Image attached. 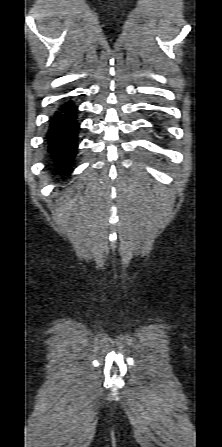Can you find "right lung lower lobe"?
<instances>
[{
  "mask_svg": "<svg viewBox=\"0 0 222 447\" xmlns=\"http://www.w3.org/2000/svg\"><path fill=\"white\" fill-rule=\"evenodd\" d=\"M77 106L72 100L59 104L49 120L46 133L47 151L59 174H70L78 145L79 122Z\"/></svg>",
  "mask_w": 222,
  "mask_h": 447,
  "instance_id": "obj_1",
  "label": "right lung lower lobe"
}]
</instances>
